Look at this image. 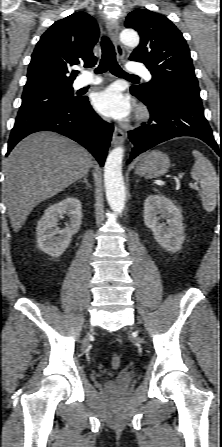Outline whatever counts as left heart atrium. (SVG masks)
Returning a JSON list of instances; mask_svg holds the SVG:
<instances>
[{"mask_svg":"<svg viewBox=\"0 0 222 447\" xmlns=\"http://www.w3.org/2000/svg\"><path fill=\"white\" fill-rule=\"evenodd\" d=\"M94 106L103 115L116 120L126 119L132 110L129 98L116 86L108 87L97 93L94 98Z\"/></svg>","mask_w":222,"mask_h":447,"instance_id":"1","label":"left heart atrium"}]
</instances>
